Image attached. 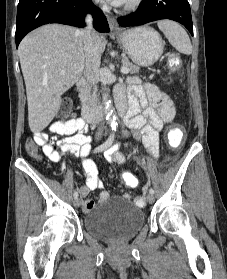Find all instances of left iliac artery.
Returning <instances> with one entry per match:
<instances>
[{"label":"left iliac artery","instance_id":"obj_1","mask_svg":"<svg viewBox=\"0 0 227 279\" xmlns=\"http://www.w3.org/2000/svg\"><path fill=\"white\" fill-rule=\"evenodd\" d=\"M149 193L154 194V190L152 188H150Z\"/></svg>","mask_w":227,"mask_h":279}]
</instances>
